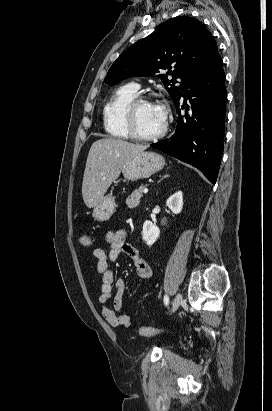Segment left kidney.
I'll list each match as a JSON object with an SVG mask.
<instances>
[{
    "label": "left kidney",
    "mask_w": 272,
    "mask_h": 411,
    "mask_svg": "<svg viewBox=\"0 0 272 411\" xmlns=\"http://www.w3.org/2000/svg\"><path fill=\"white\" fill-rule=\"evenodd\" d=\"M166 205L174 213L179 214L183 209V194L178 191L171 195ZM160 236V230L149 220H146L143 224L142 238L148 246L153 245Z\"/></svg>",
    "instance_id": "obj_1"
}]
</instances>
